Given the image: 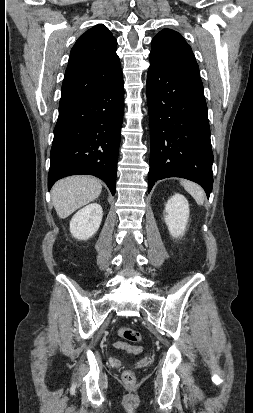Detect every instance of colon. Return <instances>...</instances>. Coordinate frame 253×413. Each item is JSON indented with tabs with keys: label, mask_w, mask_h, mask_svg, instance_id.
<instances>
[{
	"label": "colon",
	"mask_w": 253,
	"mask_h": 413,
	"mask_svg": "<svg viewBox=\"0 0 253 413\" xmlns=\"http://www.w3.org/2000/svg\"><path fill=\"white\" fill-rule=\"evenodd\" d=\"M118 335L132 343H138L141 340V334L138 331L129 327H120L118 329ZM114 345L116 348L124 349L131 353H139L142 351L141 347L131 346L121 341L116 342ZM122 378L125 383L130 385L135 382V374L131 370H126L123 373Z\"/></svg>",
	"instance_id": "1"
}]
</instances>
